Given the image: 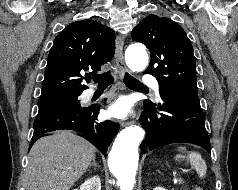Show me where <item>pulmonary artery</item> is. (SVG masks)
Returning a JSON list of instances; mask_svg holds the SVG:
<instances>
[{
	"label": "pulmonary artery",
	"instance_id": "e3ab8cb5",
	"mask_svg": "<svg viewBox=\"0 0 238 190\" xmlns=\"http://www.w3.org/2000/svg\"><path fill=\"white\" fill-rule=\"evenodd\" d=\"M143 82H144V84L151 86L156 91L157 94L159 93V86H158V83L155 78H153L151 76H147V77H145ZM94 92H95V90L89 89L85 92V96L91 97L94 94Z\"/></svg>",
	"mask_w": 238,
	"mask_h": 190
}]
</instances>
